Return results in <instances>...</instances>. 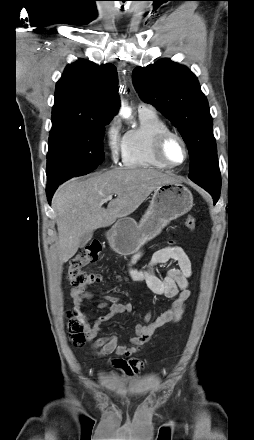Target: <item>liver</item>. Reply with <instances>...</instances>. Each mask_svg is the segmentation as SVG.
I'll list each match as a JSON object with an SVG mask.
<instances>
[{"instance_id":"6515ba94","label":"liver","mask_w":254,"mask_h":440,"mask_svg":"<svg viewBox=\"0 0 254 440\" xmlns=\"http://www.w3.org/2000/svg\"><path fill=\"white\" fill-rule=\"evenodd\" d=\"M171 182L177 180L154 169L119 168L63 183L52 199L60 261L65 263L76 254L85 232L108 227L130 215L159 185ZM108 195L117 197L105 209L102 206Z\"/></svg>"}]
</instances>
